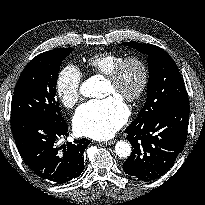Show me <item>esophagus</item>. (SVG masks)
Masks as SVG:
<instances>
[{
  "mask_svg": "<svg viewBox=\"0 0 205 205\" xmlns=\"http://www.w3.org/2000/svg\"><path fill=\"white\" fill-rule=\"evenodd\" d=\"M114 143H115V140H108V141H104L102 144L111 145V144H114Z\"/></svg>",
  "mask_w": 205,
  "mask_h": 205,
  "instance_id": "esophagus-1",
  "label": "esophagus"
}]
</instances>
